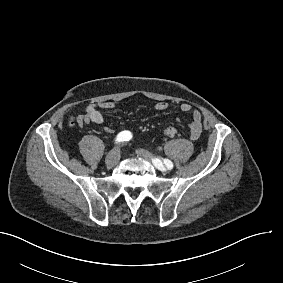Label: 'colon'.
I'll list each match as a JSON object with an SVG mask.
<instances>
[{
    "instance_id": "5ec220e1",
    "label": "colon",
    "mask_w": 283,
    "mask_h": 283,
    "mask_svg": "<svg viewBox=\"0 0 283 283\" xmlns=\"http://www.w3.org/2000/svg\"><path fill=\"white\" fill-rule=\"evenodd\" d=\"M73 123H74V121L72 120V124ZM176 135H177V129L175 127H168L163 132V136H164L165 139H172Z\"/></svg>"
}]
</instances>
